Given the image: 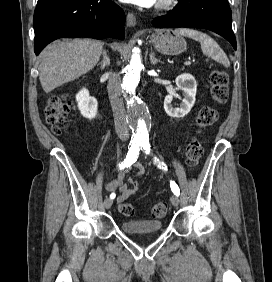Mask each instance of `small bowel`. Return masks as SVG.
Listing matches in <instances>:
<instances>
[{"instance_id":"c3829d8e","label":"small bowel","mask_w":272,"mask_h":282,"mask_svg":"<svg viewBox=\"0 0 272 282\" xmlns=\"http://www.w3.org/2000/svg\"><path fill=\"white\" fill-rule=\"evenodd\" d=\"M134 167L137 169L138 174L144 172V168L141 163H134ZM124 172L121 171L111 182L105 183V189L109 192H119L117 197V203L120 205L123 203L129 196L134 194L140 187L139 182L134 179V181L129 182V185L123 183Z\"/></svg>"}]
</instances>
